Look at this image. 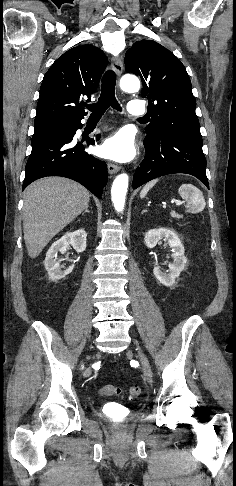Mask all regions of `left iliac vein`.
<instances>
[{
	"label": "left iliac vein",
	"instance_id": "left-iliac-vein-1",
	"mask_svg": "<svg viewBox=\"0 0 236 486\" xmlns=\"http://www.w3.org/2000/svg\"><path fill=\"white\" fill-rule=\"evenodd\" d=\"M138 354H139L140 362L142 364L146 380L149 384H151L153 382V374H152L149 361L140 349H138Z\"/></svg>",
	"mask_w": 236,
	"mask_h": 486
}]
</instances>
